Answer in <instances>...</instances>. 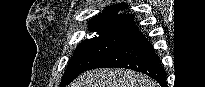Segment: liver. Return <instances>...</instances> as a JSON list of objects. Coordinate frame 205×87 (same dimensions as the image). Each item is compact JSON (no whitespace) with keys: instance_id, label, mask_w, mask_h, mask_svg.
<instances>
[{"instance_id":"6515ba94","label":"liver","mask_w":205,"mask_h":87,"mask_svg":"<svg viewBox=\"0 0 205 87\" xmlns=\"http://www.w3.org/2000/svg\"><path fill=\"white\" fill-rule=\"evenodd\" d=\"M69 87H159L146 75L126 69H97L80 75Z\"/></svg>"}]
</instances>
